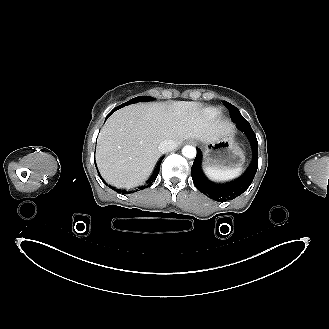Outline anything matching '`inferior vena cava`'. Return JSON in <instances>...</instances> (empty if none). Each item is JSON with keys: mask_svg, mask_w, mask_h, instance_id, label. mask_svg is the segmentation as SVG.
Instances as JSON below:
<instances>
[{"mask_svg": "<svg viewBox=\"0 0 329 329\" xmlns=\"http://www.w3.org/2000/svg\"><path fill=\"white\" fill-rule=\"evenodd\" d=\"M176 147H177V143L174 140L168 139V140H164V141L160 142V144L158 146V150L161 153H166V152L172 151Z\"/></svg>", "mask_w": 329, "mask_h": 329, "instance_id": "602c4592", "label": "inferior vena cava"}]
</instances>
